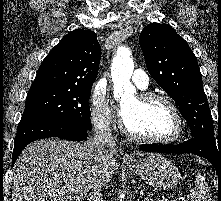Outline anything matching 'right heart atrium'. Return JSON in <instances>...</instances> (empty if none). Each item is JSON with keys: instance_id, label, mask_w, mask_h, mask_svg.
Masks as SVG:
<instances>
[{"instance_id": "1", "label": "right heart atrium", "mask_w": 221, "mask_h": 201, "mask_svg": "<svg viewBox=\"0 0 221 201\" xmlns=\"http://www.w3.org/2000/svg\"><path fill=\"white\" fill-rule=\"evenodd\" d=\"M91 121L100 131L109 130L113 123L111 108L103 92H95L92 96Z\"/></svg>"}]
</instances>
